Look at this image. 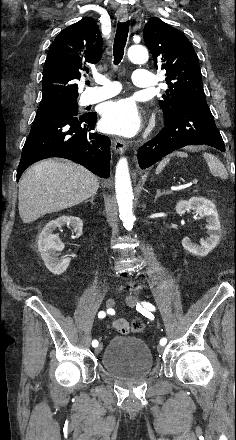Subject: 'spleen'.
Masks as SVG:
<instances>
[{"label": "spleen", "instance_id": "1", "mask_svg": "<svg viewBox=\"0 0 236 440\" xmlns=\"http://www.w3.org/2000/svg\"><path fill=\"white\" fill-rule=\"evenodd\" d=\"M203 157L206 160L209 170L212 174L217 175L222 179H226L228 177L224 165L214 155L209 153H204ZM169 161H170V157H166L163 160H161L156 168V174L161 173L162 170L165 168V166L169 163Z\"/></svg>", "mask_w": 236, "mask_h": 440}]
</instances>
